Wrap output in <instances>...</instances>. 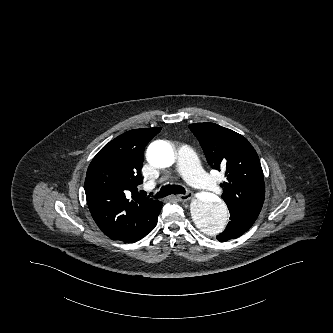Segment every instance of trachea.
Listing matches in <instances>:
<instances>
[{"mask_svg": "<svg viewBox=\"0 0 333 333\" xmlns=\"http://www.w3.org/2000/svg\"><path fill=\"white\" fill-rule=\"evenodd\" d=\"M186 190L180 185H165L162 186L160 191L155 195L156 198H163L171 194H185ZM146 195L145 192L142 193Z\"/></svg>", "mask_w": 333, "mask_h": 333, "instance_id": "obj_1", "label": "trachea"}]
</instances>
